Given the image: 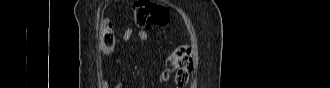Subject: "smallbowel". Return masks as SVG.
I'll use <instances>...</instances> for the list:
<instances>
[{
  "mask_svg": "<svg viewBox=\"0 0 330 88\" xmlns=\"http://www.w3.org/2000/svg\"><path fill=\"white\" fill-rule=\"evenodd\" d=\"M133 34V29L132 28H127L123 34V40L128 41ZM149 38V35L146 31L141 30L137 33V40L140 42H145Z\"/></svg>",
  "mask_w": 330,
  "mask_h": 88,
  "instance_id": "1",
  "label": "small bowel"
}]
</instances>
